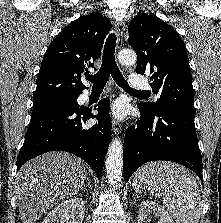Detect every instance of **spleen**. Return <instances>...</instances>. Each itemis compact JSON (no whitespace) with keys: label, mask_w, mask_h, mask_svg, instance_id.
Listing matches in <instances>:
<instances>
[{"label":"spleen","mask_w":221,"mask_h":223,"mask_svg":"<svg viewBox=\"0 0 221 223\" xmlns=\"http://www.w3.org/2000/svg\"><path fill=\"white\" fill-rule=\"evenodd\" d=\"M134 189L153 188L176 223H198L201 213L200 191L194 176L172 162H150L135 173Z\"/></svg>","instance_id":"obj_1"}]
</instances>
